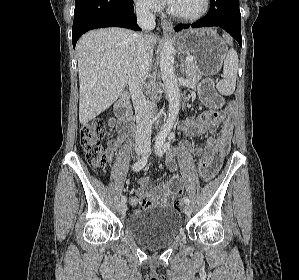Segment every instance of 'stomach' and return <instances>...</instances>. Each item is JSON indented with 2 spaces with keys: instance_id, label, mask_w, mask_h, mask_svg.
I'll return each mask as SVG.
<instances>
[{
  "instance_id": "stomach-1",
  "label": "stomach",
  "mask_w": 299,
  "mask_h": 280,
  "mask_svg": "<svg viewBox=\"0 0 299 280\" xmlns=\"http://www.w3.org/2000/svg\"><path fill=\"white\" fill-rule=\"evenodd\" d=\"M178 44L194 55L201 75L206 77L220 71L228 48L226 42L211 28L190 29L178 35ZM202 99L210 105L218 103L214 84L205 79L199 84Z\"/></svg>"
}]
</instances>
